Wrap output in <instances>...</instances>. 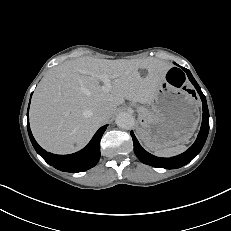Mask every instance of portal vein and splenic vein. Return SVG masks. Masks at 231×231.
I'll list each match as a JSON object with an SVG mask.
<instances>
[{
  "mask_svg": "<svg viewBox=\"0 0 231 231\" xmlns=\"http://www.w3.org/2000/svg\"><path fill=\"white\" fill-rule=\"evenodd\" d=\"M100 80L104 83L102 86L103 90L108 92L111 88V80L107 74H102L99 76Z\"/></svg>",
  "mask_w": 231,
  "mask_h": 231,
  "instance_id": "portal-vein-and-splenic-vein-1",
  "label": "portal vein and splenic vein"
}]
</instances>
